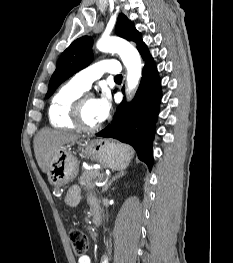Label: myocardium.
<instances>
[{"label":"myocardium","mask_w":233,"mask_h":263,"mask_svg":"<svg viewBox=\"0 0 233 263\" xmlns=\"http://www.w3.org/2000/svg\"><path fill=\"white\" fill-rule=\"evenodd\" d=\"M90 96V94L82 93L74 101L71 108V118L75 126L84 132H95L100 129L101 125L97 124L95 126H88L83 120V107L85 99Z\"/></svg>","instance_id":"myocardium-1"}]
</instances>
